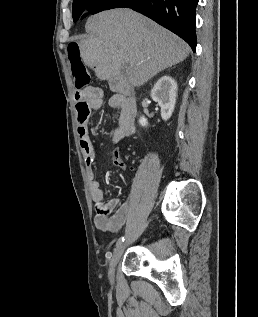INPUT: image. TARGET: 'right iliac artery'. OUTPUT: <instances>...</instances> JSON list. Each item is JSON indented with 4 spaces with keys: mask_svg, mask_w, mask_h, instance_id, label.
Instances as JSON below:
<instances>
[{
    "mask_svg": "<svg viewBox=\"0 0 258 317\" xmlns=\"http://www.w3.org/2000/svg\"><path fill=\"white\" fill-rule=\"evenodd\" d=\"M124 241H125L124 236L120 237L116 243V248H118L121 245V243H123Z\"/></svg>",
    "mask_w": 258,
    "mask_h": 317,
    "instance_id": "82829eb1",
    "label": "right iliac artery"
}]
</instances>
